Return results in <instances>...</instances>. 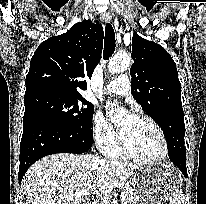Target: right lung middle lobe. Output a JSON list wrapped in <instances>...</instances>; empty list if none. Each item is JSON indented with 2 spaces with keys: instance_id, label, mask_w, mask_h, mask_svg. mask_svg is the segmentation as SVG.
I'll use <instances>...</instances> for the list:
<instances>
[{
  "instance_id": "obj_1",
  "label": "right lung middle lobe",
  "mask_w": 206,
  "mask_h": 204,
  "mask_svg": "<svg viewBox=\"0 0 206 204\" xmlns=\"http://www.w3.org/2000/svg\"><path fill=\"white\" fill-rule=\"evenodd\" d=\"M23 120L45 117L63 126L76 128L92 135L94 106L81 96H65L53 93L25 98Z\"/></svg>"
}]
</instances>
